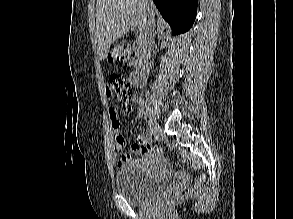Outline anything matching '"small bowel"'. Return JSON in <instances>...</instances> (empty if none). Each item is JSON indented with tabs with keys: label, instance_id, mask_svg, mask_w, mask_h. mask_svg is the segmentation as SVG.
<instances>
[{
	"label": "small bowel",
	"instance_id": "obj_1",
	"mask_svg": "<svg viewBox=\"0 0 293 219\" xmlns=\"http://www.w3.org/2000/svg\"><path fill=\"white\" fill-rule=\"evenodd\" d=\"M106 93L108 97H111L112 91L109 87L107 88ZM132 101L137 106L138 116L141 117L145 110V101L139 96H134L132 98ZM109 116L111 119L112 128L116 135V146H117V149L120 150L125 144V137L119 132L120 122L118 119L117 111L113 107L112 104L109 105ZM149 147H150V144L148 142L147 137L144 135H139L137 137L136 143L133 144L132 146L133 154H126V155H123L121 158H119L117 161L118 167L135 163L136 161L134 159V155H141L146 153Z\"/></svg>",
	"mask_w": 293,
	"mask_h": 219
}]
</instances>
